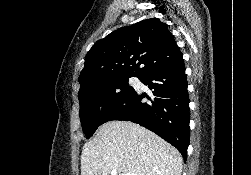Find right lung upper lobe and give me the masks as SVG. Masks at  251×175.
<instances>
[{
  "instance_id": "right-lung-upper-lobe-1",
  "label": "right lung upper lobe",
  "mask_w": 251,
  "mask_h": 175,
  "mask_svg": "<svg viewBox=\"0 0 251 175\" xmlns=\"http://www.w3.org/2000/svg\"><path fill=\"white\" fill-rule=\"evenodd\" d=\"M183 60L168 25L158 18L119 28L98 40L86 55L80 88L103 85L119 77H143Z\"/></svg>"
}]
</instances>
